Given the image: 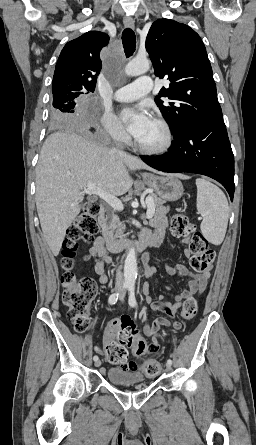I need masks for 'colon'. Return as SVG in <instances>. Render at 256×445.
Returning a JSON list of instances; mask_svg holds the SVG:
<instances>
[{
  "label": "colon",
  "mask_w": 256,
  "mask_h": 445,
  "mask_svg": "<svg viewBox=\"0 0 256 445\" xmlns=\"http://www.w3.org/2000/svg\"><path fill=\"white\" fill-rule=\"evenodd\" d=\"M100 206L91 203L86 206L69 228L68 237L62 247V265L65 272L61 276L64 287L62 301L68 308V318L76 331L83 332L89 324L88 307L96 294V283L91 277H77L72 271L73 259L80 243L88 242L98 233V217ZM171 233L176 237L189 238V251L192 254L191 265L198 272H209L215 262V252L209 247L208 241L198 231L185 214L177 213L170 221ZM197 313V302L188 298L182 309V318L191 320ZM118 340L108 343L105 354L112 363L122 364L127 360V349L130 347L137 356L147 352L146 341L139 334L135 321L128 315L119 319ZM160 363L146 361L143 372L153 377L159 373Z\"/></svg>",
  "instance_id": "obj_1"
}]
</instances>
